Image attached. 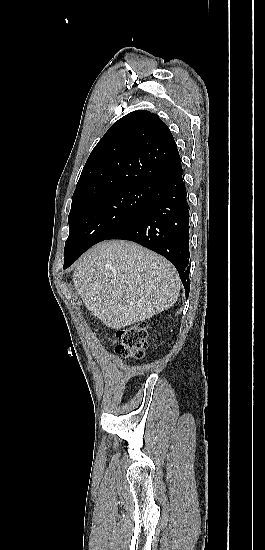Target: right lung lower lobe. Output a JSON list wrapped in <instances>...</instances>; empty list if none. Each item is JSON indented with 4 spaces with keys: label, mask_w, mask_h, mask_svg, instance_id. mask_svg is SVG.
Segmentation results:
<instances>
[{
    "label": "right lung lower lobe",
    "mask_w": 265,
    "mask_h": 550,
    "mask_svg": "<svg viewBox=\"0 0 265 550\" xmlns=\"http://www.w3.org/2000/svg\"><path fill=\"white\" fill-rule=\"evenodd\" d=\"M182 172L179 162L159 180L142 213L108 239L134 241L167 258L178 270L188 297L189 206Z\"/></svg>",
    "instance_id": "right-lung-lower-lobe-1"
}]
</instances>
